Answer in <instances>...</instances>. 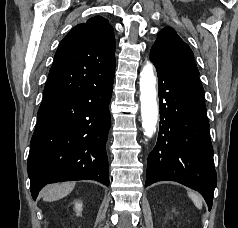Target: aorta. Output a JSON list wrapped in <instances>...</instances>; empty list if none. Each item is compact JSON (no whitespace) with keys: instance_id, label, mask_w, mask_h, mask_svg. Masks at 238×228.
Segmentation results:
<instances>
[{"instance_id":"obj_1","label":"aorta","mask_w":238,"mask_h":228,"mask_svg":"<svg viewBox=\"0 0 238 228\" xmlns=\"http://www.w3.org/2000/svg\"><path fill=\"white\" fill-rule=\"evenodd\" d=\"M156 83L153 64L147 62L140 73V102L143 133L149 138L155 134L158 120Z\"/></svg>"}]
</instances>
